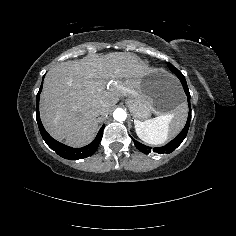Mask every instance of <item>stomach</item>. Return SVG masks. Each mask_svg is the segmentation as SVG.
Returning <instances> with one entry per match:
<instances>
[{
  "mask_svg": "<svg viewBox=\"0 0 236 236\" xmlns=\"http://www.w3.org/2000/svg\"><path fill=\"white\" fill-rule=\"evenodd\" d=\"M185 96L179 82L167 72L155 69L140 80L137 97L126 99L135 119L146 120L151 114L165 116L182 104Z\"/></svg>",
  "mask_w": 236,
  "mask_h": 236,
  "instance_id": "0dacf381",
  "label": "stomach"
}]
</instances>
